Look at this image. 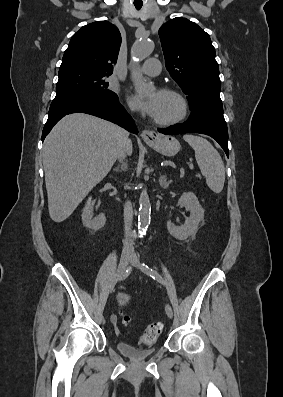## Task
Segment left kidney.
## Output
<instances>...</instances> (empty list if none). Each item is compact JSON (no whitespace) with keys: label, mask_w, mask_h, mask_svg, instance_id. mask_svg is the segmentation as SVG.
<instances>
[{"label":"left kidney","mask_w":283,"mask_h":397,"mask_svg":"<svg viewBox=\"0 0 283 397\" xmlns=\"http://www.w3.org/2000/svg\"><path fill=\"white\" fill-rule=\"evenodd\" d=\"M178 205L190 211V217L181 226L168 221L167 229L174 238L186 240L188 237L196 234L199 223L204 219V209L201 207L196 195L192 192H184L178 201Z\"/></svg>","instance_id":"obj_1"}]
</instances>
